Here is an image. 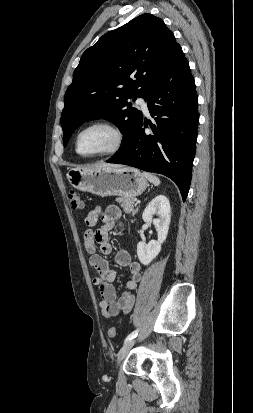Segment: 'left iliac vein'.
Instances as JSON below:
<instances>
[{"label":"left iliac vein","mask_w":253,"mask_h":413,"mask_svg":"<svg viewBox=\"0 0 253 413\" xmlns=\"http://www.w3.org/2000/svg\"><path fill=\"white\" fill-rule=\"evenodd\" d=\"M135 344V339L130 340L126 342L123 347L120 349L118 356H117V364H120V362L125 358L129 350L133 347Z\"/></svg>","instance_id":"left-iliac-vein-1"}]
</instances>
